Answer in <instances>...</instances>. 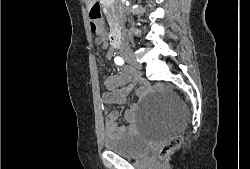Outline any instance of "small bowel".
<instances>
[{
  "label": "small bowel",
  "instance_id": "1",
  "mask_svg": "<svg viewBox=\"0 0 250 169\" xmlns=\"http://www.w3.org/2000/svg\"><path fill=\"white\" fill-rule=\"evenodd\" d=\"M106 36L104 32L99 33L96 42L102 44L104 47L107 46ZM111 56V53H107L106 57ZM105 93L103 99L107 104L121 105L126 102L127 95L133 91V89L140 85L136 95L142 98L148 91L147 80L141 78L138 74L124 71L115 75H111L105 80ZM119 113L117 111L107 112L106 120V133L111 135L113 133H132L136 129V115L134 109H130L125 114L127 125L117 126L116 119Z\"/></svg>",
  "mask_w": 250,
  "mask_h": 169
}]
</instances>
